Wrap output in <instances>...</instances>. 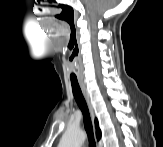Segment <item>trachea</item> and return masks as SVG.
<instances>
[{
    "label": "trachea",
    "instance_id": "obj_1",
    "mask_svg": "<svg viewBox=\"0 0 163 147\" xmlns=\"http://www.w3.org/2000/svg\"><path fill=\"white\" fill-rule=\"evenodd\" d=\"M71 86H72V92H73L74 98L83 114L84 126H85L86 133L88 135L89 145L90 147H96L89 109L84 99V96L82 94V91L80 89V86L78 84V81L71 80Z\"/></svg>",
    "mask_w": 163,
    "mask_h": 147
}]
</instances>
